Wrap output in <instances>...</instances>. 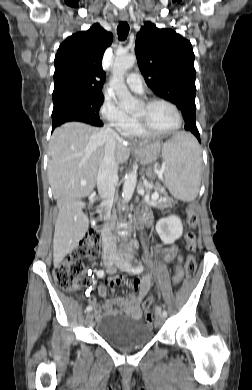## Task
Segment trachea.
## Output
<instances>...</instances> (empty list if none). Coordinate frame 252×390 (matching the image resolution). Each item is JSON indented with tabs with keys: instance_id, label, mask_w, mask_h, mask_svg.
<instances>
[{
	"instance_id": "3493384b",
	"label": "trachea",
	"mask_w": 252,
	"mask_h": 390,
	"mask_svg": "<svg viewBox=\"0 0 252 390\" xmlns=\"http://www.w3.org/2000/svg\"><path fill=\"white\" fill-rule=\"evenodd\" d=\"M128 33L129 25L127 24V22H120L119 26L117 27V34L119 40L124 41L127 38Z\"/></svg>"
}]
</instances>
